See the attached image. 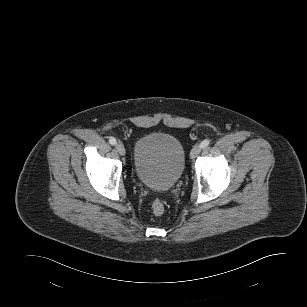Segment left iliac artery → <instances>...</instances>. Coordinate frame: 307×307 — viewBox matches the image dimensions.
Here are the masks:
<instances>
[{"label": "left iliac artery", "mask_w": 307, "mask_h": 307, "mask_svg": "<svg viewBox=\"0 0 307 307\" xmlns=\"http://www.w3.org/2000/svg\"><path fill=\"white\" fill-rule=\"evenodd\" d=\"M210 144V141L208 139H205L201 142L200 146L201 148H206Z\"/></svg>", "instance_id": "44dca946"}]
</instances>
